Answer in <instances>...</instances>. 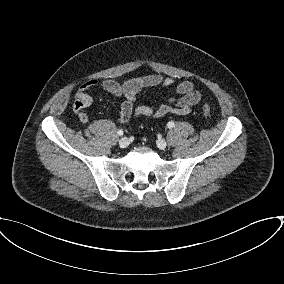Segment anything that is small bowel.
Returning <instances> with one entry per match:
<instances>
[{"mask_svg": "<svg viewBox=\"0 0 284 284\" xmlns=\"http://www.w3.org/2000/svg\"><path fill=\"white\" fill-rule=\"evenodd\" d=\"M174 84L175 80L173 78L163 77L159 74L139 76L124 82L91 80L82 84L75 92L72 110L77 114L81 123H87L89 118L85 110L92 104L89 91L93 88H101L121 98V110L118 117L121 124L127 123L131 118H162L166 115H187L192 107L201 100V93L195 89L194 84L189 80L182 81L176 86ZM172 86L174 87L171 89L166 103L134 107V100L139 92L157 87L170 88Z\"/></svg>", "mask_w": 284, "mask_h": 284, "instance_id": "small-bowel-1", "label": "small bowel"}]
</instances>
